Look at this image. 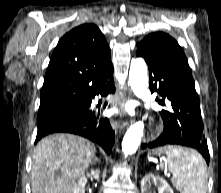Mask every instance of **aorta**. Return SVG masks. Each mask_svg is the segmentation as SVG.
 <instances>
[{
	"instance_id": "aorta-1",
	"label": "aorta",
	"mask_w": 221,
	"mask_h": 193,
	"mask_svg": "<svg viewBox=\"0 0 221 193\" xmlns=\"http://www.w3.org/2000/svg\"><path fill=\"white\" fill-rule=\"evenodd\" d=\"M129 84L134 94L145 102L149 109L152 95L148 89V70L144 59L134 58L129 71ZM144 123L136 122L127 130L122 141V152L125 157L136 153L143 136Z\"/></svg>"
}]
</instances>
